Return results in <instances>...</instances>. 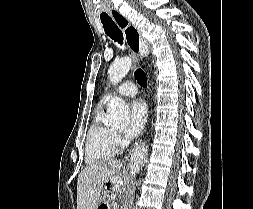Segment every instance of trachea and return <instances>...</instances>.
<instances>
[{
    "label": "trachea",
    "instance_id": "trachea-1",
    "mask_svg": "<svg viewBox=\"0 0 253 209\" xmlns=\"http://www.w3.org/2000/svg\"><path fill=\"white\" fill-rule=\"evenodd\" d=\"M101 22L103 24L105 33L114 41L122 44L123 34L113 20L108 15H101ZM124 26L125 25H121L122 28ZM135 78L140 86L144 88L147 87V77L143 70L137 69L135 71Z\"/></svg>",
    "mask_w": 253,
    "mask_h": 209
}]
</instances>
